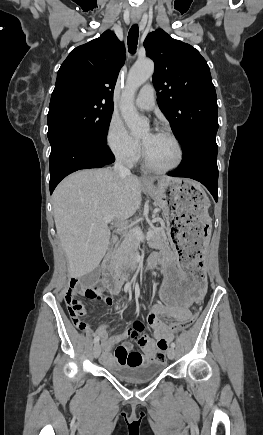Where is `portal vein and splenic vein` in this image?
Returning <instances> with one entry per match:
<instances>
[{
    "mask_svg": "<svg viewBox=\"0 0 263 435\" xmlns=\"http://www.w3.org/2000/svg\"><path fill=\"white\" fill-rule=\"evenodd\" d=\"M111 221H113V218H112V217H105V218H103V219L101 220V222L106 223V224L110 223ZM133 232H134L135 236L138 237L139 239L142 240V239L145 238V236H144L142 230H141L139 227L134 228V229H133ZM152 234H153L152 231L149 230V231L147 232V234H146V238H147V239H150L151 236H152Z\"/></svg>",
    "mask_w": 263,
    "mask_h": 435,
    "instance_id": "obj_1",
    "label": "portal vein and splenic vein"
}]
</instances>
